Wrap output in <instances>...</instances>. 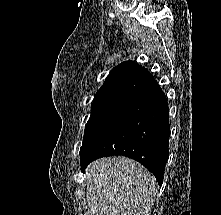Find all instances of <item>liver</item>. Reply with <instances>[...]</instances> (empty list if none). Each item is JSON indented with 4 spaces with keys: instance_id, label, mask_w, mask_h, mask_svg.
Masks as SVG:
<instances>
[{
    "instance_id": "1",
    "label": "liver",
    "mask_w": 221,
    "mask_h": 215,
    "mask_svg": "<svg viewBox=\"0 0 221 215\" xmlns=\"http://www.w3.org/2000/svg\"><path fill=\"white\" fill-rule=\"evenodd\" d=\"M87 215H150L159 186L140 163L123 156L99 159L86 169Z\"/></svg>"
}]
</instances>
